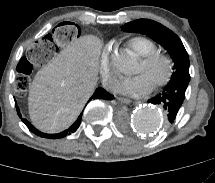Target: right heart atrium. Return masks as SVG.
<instances>
[{"label": "right heart atrium", "instance_id": "obj_1", "mask_svg": "<svg viewBox=\"0 0 215 183\" xmlns=\"http://www.w3.org/2000/svg\"><path fill=\"white\" fill-rule=\"evenodd\" d=\"M100 67H101V73L105 81L106 87L109 90H114L116 87L117 75L113 70L108 48H105L101 54Z\"/></svg>", "mask_w": 215, "mask_h": 183}]
</instances>
